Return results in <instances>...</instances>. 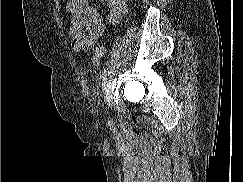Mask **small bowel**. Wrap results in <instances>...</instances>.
I'll return each mask as SVG.
<instances>
[{"label":"small bowel","instance_id":"c3829d8e","mask_svg":"<svg viewBox=\"0 0 243 182\" xmlns=\"http://www.w3.org/2000/svg\"><path fill=\"white\" fill-rule=\"evenodd\" d=\"M110 9L107 20L116 24L127 12V0H99ZM67 11L71 15V47L74 51H89L104 33L105 22L88 0H69Z\"/></svg>","mask_w":243,"mask_h":182}]
</instances>
